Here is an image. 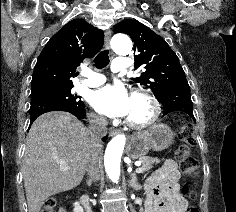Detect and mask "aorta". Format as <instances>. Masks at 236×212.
Returning <instances> with one entry per match:
<instances>
[{"label": "aorta", "mask_w": 236, "mask_h": 212, "mask_svg": "<svg viewBox=\"0 0 236 212\" xmlns=\"http://www.w3.org/2000/svg\"><path fill=\"white\" fill-rule=\"evenodd\" d=\"M111 47L118 54H127L132 49V42L127 35L116 34L111 40ZM125 142V135L118 134L110 140L105 151V170L109 179L114 183H118L120 177V162Z\"/></svg>", "instance_id": "obj_1"}]
</instances>
